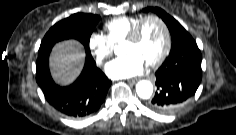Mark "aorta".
I'll return each mask as SVG.
<instances>
[{
    "label": "aorta",
    "instance_id": "762f6f07",
    "mask_svg": "<svg viewBox=\"0 0 236 135\" xmlns=\"http://www.w3.org/2000/svg\"><path fill=\"white\" fill-rule=\"evenodd\" d=\"M136 93L142 99H149L153 93V85L148 80H141L136 84Z\"/></svg>",
    "mask_w": 236,
    "mask_h": 135
}]
</instances>
